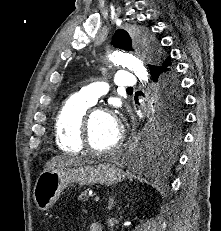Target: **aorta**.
<instances>
[{
  "label": "aorta",
  "mask_w": 221,
  "mask_h": 231,
  "mask_svg": "<svg viewBox=\"0 0 221 231\" xmlns=\"http://www.w3.org/2000/svg\"><path fill=\"white\" fill-rule=\"evenodd\" d=\"M109 59L114 64L127 67L139 78L141 82H148V72L143 62L136 56L125 51L116 50L109 55Z\"/></svg>",
  "instance_id": "obj_1"
}]
</instances>
